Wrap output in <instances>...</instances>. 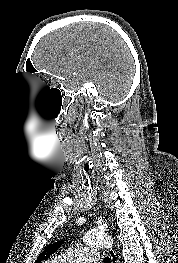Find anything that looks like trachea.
Here are the masks:
<instances>
[{"instance_id":"obj_1","label":"trachea","mask_w":178,"mask_h":263,"mask_svg":"<svg viewBox=\"0 0 178 263\" xmlns=\"http://www.w3.org/2000/svg\"><path fill=\"white\" fill-rule=\"evenodd\" d=\"M104 263H111V258L108 256L104 258Z\"/></svg>"}]
</instances>
